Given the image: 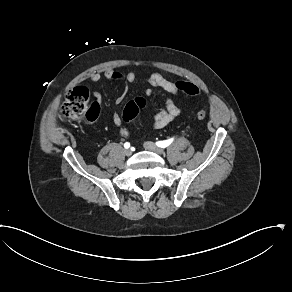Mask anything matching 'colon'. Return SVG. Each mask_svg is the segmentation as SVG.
<instances>
[{"label": "colon", "mask_w": 292, "mask_h": 292, "mask_svg": "<svg viewBox=\"0 0 292 292\" xmlns=\"http://www.w3.org/2000/svg\"><path fill=\"white\" fill-rule=\"evenodd\" d=\"M180 91L188 95H197L199 87L191 83H179ZM147 106V99L145 97H136L128 101L123 109V118L130 122L136 118L141 110ZM101 107L98 102L90 101V95L87 89L78 86L71 89L66 95V100L62 109V116L69 119H76L81 122H87L96 118L100 113ZM207 110L200 108L197 111V118L199 120L205 119Z\"/></svg>", "instance_id": "colon-1"}]
</instances>
